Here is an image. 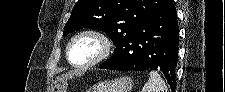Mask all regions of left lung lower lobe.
Wrapping results in <instances>:
<instances>
[{
    "label": "left lung lower lobe",
    "mask_w": 225,
    "mask_h": 92,
    "mask_svg": "<svg viewBox=\"0 0 225 92\" xmlns=\"http://www.w3.org/2000/svg\"><path fill=\"white\" fill-rule=\"evenodd\" d=\"M179 46L176 10L167 0L146 19L122 48L99 68L112 70H157L175 90V69Z\"/></svg>",
    "instance_id": "0a47b994"
}]
</instances>
